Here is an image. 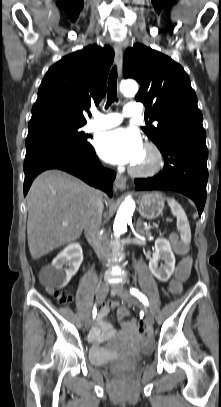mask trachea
Instances as JSON below:
<instances>
[{
    "instance_id": "trachea-1",
    "label": "trachea",
    "mask_w": 221,
    "mask_h": 407,
    "mask_svg": "<svg viewBox=\"0 0 221 407\" xmlns=\"http://www.w3.org/2000/svg\"><path fill=\"white\" fill-rule=\"evenodd\" d=\"M117 102V69L114 66L110 72L108 79V98L105 108L107 109L112 102Z\"/></svg>"
}]
</instances>
